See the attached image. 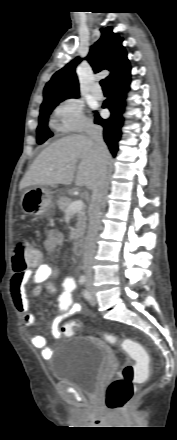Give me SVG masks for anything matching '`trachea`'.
<instances>
[{
    "label": "trachea",
    "instance_id": "1",
    "mask_svg": "<svg viewBox=\"0 0 177 440\" xmlns=\"http://www.w3.org/2000/svg\"><path fill=\"white\" fill-rule=\"evenodd\" d=\"M100 85L102 86V89H103L104 91H105V90H109V88H108L107 83H106L105 80H101V81H100Z\"/></svg>",
    "mask_w": 177,
    "mask_h": 440
}]
</instances>
